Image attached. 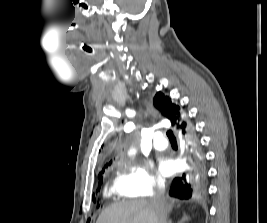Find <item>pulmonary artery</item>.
I'll use <instances>...</instances> for the list:
<instances>
[{"label": "pulmonary artery", "mask_w": 267, "mask_h": 223, "mask_svg": "<svg viewBox=\"0 0 267 223\" xmlns=\"http://www.w3.org/2000/svg\"><path fill=\"white\" fill-rule=\"evenodd\" d=\"M153 146L156 150H164L168 147V142L167 140L163 137L162 134L157 133L154 136V140H153Z\"/></svg>", "instance_id": "1"}]
</instances>
